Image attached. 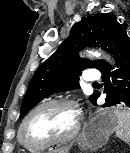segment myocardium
Wrapping results in <instances>:
<instances>
[{
  "mask_svg": "<svg viewBox=\"0 0 130 153\" xmlns=\"http://www.w3.org/2000/svg\"><path fill=\"white\" fill-rule=\"evenodd\" d=\"M50 105H66L71 107L76 113V123L74 128L67 136L62 138L48 139V140H42V141L28 140L24 133V129L28 120L35 112H37L43 107L50 106ZM81 126H82V113L78 104L74 100L69 98H53V99H49V100L41 102L40 104L36 105L33 109H31L27 113V115L24 117V119L22 120L20 124L18 136L21 143L28 148H47L50 146L69 143L70 141L75 139L76 136L79 134Z\"/></svg>",
  "mask_w": 130,
  "mask_h": 153,
  "instance_id": "f54148a6",
  "label": "myocardium"
}]
</instances>
